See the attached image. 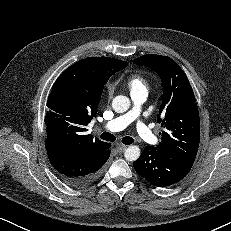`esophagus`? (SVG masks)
I'll list each match as a JSON object with an SVG mask.
<instances>
[{
    "label": "esophagus",
    "mask_w": 231,
    "mask_h": 231,
    "mask_svg": "<svg viewBox=\"0 0 231 231\" xmlns=\"http://www.w3.org/2000/svg\"><path fill=\"white\" fill-rule=\"evenodd\" d=\"M116 148L118 150L119 153H122L126 150L127 146L126 145H122V144H117Z\"/></svg>",
    "instance_id": "obj_1"
}]
</instances>
